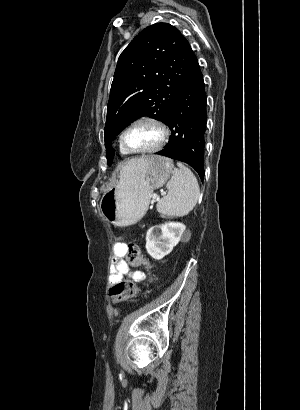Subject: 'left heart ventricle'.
I'll return each mask as SVG.
<instances>
[{
  "instance_id": "1",
  "label": "left heart ventricle",
  "mask_w": 300,
  "mask_h": 410,
  "mask_svg": "<svg viewBox=\"0 0 300 410\" xmlns=\"http://www.w3.org/2000/svg\"><path fill=\"white\" fill-rule=\"evenodd\" d=\"M161 138L159 128L148 122L131 127L125 134L124 141L131 149H148L154 147Z\"/></svg>"
}]
</instances>
